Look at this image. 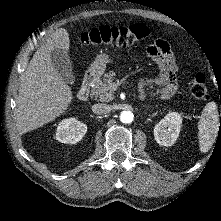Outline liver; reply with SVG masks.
I'll use <instances>...</instances> for the list:
<instances>
[{
  "label": "liver",
  "instance_id": "1",
  "mask_svg": "<svg viewBox=\"0 0 221 221\" xmlns=\"http://www.w3.org/2000/svg\"><path fill=\"white\" fill-rule=\"evenodd\" d=\"M55 48L68 52L70 39L66 29H57L50 35L21 77L16 100V127L20 134L53 121L72 101L71 88L52 64L51 53Z\"/></svg>",
  "mask_w": 221,
  "mask_h": 221
}]
</instances>
